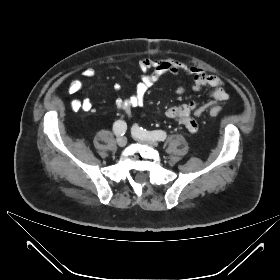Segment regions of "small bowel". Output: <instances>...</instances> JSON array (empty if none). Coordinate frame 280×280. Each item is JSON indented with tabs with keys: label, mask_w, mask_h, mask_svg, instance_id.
Instances as JSON below:
<instances>
[{
	"label": "small bowel",
	"mask_w": 280,
	"mask_h": 280,
	"mask_svg": "<svg viewBox=\"0 0 280 280\" xmlns=\"http://www.w3.org/2000/svg\"><path fill=\"white\" fill-rule=\"evenodd\" d=\"M139 70L141 78L136 84L135 90L128 98H117L116 106L126 116H130L131 111L135 107L142 106L150 87L165 74L178 76L184 73L190 76L193 80L192 90L200 91L206 88H211L209 94L210 100L202 105L195 99H192L184 104L173 106L167 109L166 116L183 125L189 132L198 130L197 119L211 108H216L217 104L226 101L229 94L225 90L224 81L213 74L207 73L200 66H190L173 58H157L144 57L139 61ZM85 78H93L96 76V70L92 67H86L83 72ZM83 88V82L80 79H73L68 85V90L71 94L79 93ZM119 89V86H115ZM187 88L184 85H179L176 93L182 95L186 93ZM70 107L74 111L92 112L93 104L88 98L74 99L70 102Z\"/></svg>",
	"instance_id": "c3829d8e"
}]
</instances>
